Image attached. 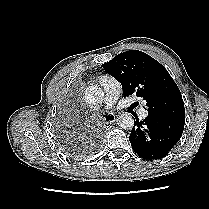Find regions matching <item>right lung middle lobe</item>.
Segmentation results:
<instances>
[{
	"instance_id": "obj_1",
	"label": "right lung middle lobe",
	"mask_w": 209,
	"mask_h": 209,
	"mask_svg": "<svg viewBox=\"0 0 209 209\" xmlns=\"http://www.w3.org/2000/svg\"><path fill=\"white\" fill-rule=\"evenodd\" d=\"M67 150H69V152L72 154L74 153V151L72 150V148L66 147Z\"/></svg>"
}]
</instances>
